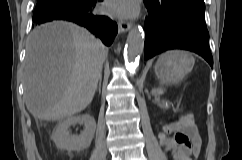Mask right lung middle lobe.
<instances>
[{"instance_id":"1","label":"right lung middle lobe","mask_w":242,"mask_h":160,"mask_svg":"<svg viewBox=\"0 0 242 160\" xmlns=\"http://www.w3.org/2000/svg\"><path fill=\"white\" fill-rule=\"evenodd\" d=\"M49 0H38L37 4H40V3H44V2H47Z\"/></svg>"}]
</instances>
